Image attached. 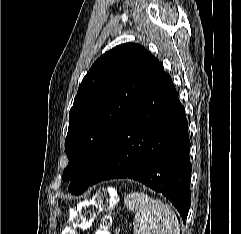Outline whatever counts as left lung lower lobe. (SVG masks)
<instances>
[{"label":"left lung lower lobe","mask_w":241,"mask_h":234,"mask_svg":"<svg viewBox=\"0 0 241 234\" xmlns=\"http://www.w3.org/2000/svg\"><path fill=\"white\" fill-rule=\"evenodd\" d=\"M185 110L162 66L123 121L89 186L131 178L166 196L185 222L191 204Z\"/></svg>","instance_id":"obj_1"}]
</instances>
